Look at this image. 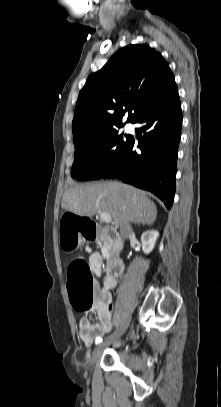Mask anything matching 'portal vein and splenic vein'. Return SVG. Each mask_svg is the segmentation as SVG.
I'll list each match as a JSON object with an SVG mask.
<instances>
[{"label": "portal vein and splenic vein", "instance_id": "18ae733b", "mask_svg": "<svg viewBox=\"0 0 221 407\" xmlns=\"http://www.w3.org/2000/svg\"><path fill=\"white\" fill-rule=\"evenodd\" d=\"M100 218L103 222L106 223H111L112 222V217L109 213H105V212H99Z\"/></svg>", "mask_w": 221, "mask_h": 407}]
</instances>
